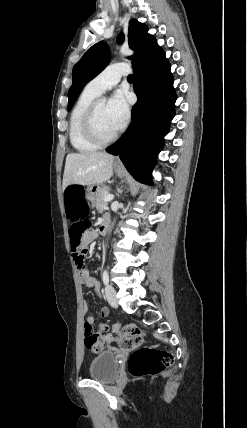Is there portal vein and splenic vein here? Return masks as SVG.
Returning <instances> with one entry per match:
<instances>
[{"instance_id": "1", "label": "portal vein and splenic vein", "mask_w": 247, "mask_h": 428, "mask_svg": "<svg viewBox=\"0 0 247 428\" xmlns=\"http://www.w3.org/2000/svg\"><path fill=\"white\" fill-rule=\"evenodd\" d=\"M113 198H114V195L108 194V195H106V196H105L104 200H105L106 202H108V201L113 200Z\"/></svg>"}]
</instances>
